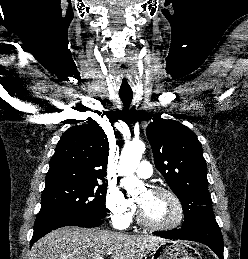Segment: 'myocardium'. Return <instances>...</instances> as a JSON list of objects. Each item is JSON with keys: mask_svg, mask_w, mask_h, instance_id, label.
Returning a JSON list of instances; mask_svg holds the SVG:
<instances>
[{"mask_svg": "<svg viewBox=\"0 0 248 259\" xmlns=\"http://www.w3.org/2000/svg\"><path fill=\"white\" fill-rule=\"evenodd\" d=\"M149 191L154 192V193H163V194H166L167 196H169L177 207V212H178L177 217L170 224L156 225V224L149 222L145 218L141 207L138 205V222H139V224L146 229H149L152 231H158V232L171 231V230H174L177 227H179L184 220L185 210H184L183 203L180 200V198L177 196V194L174 191H172L171 189L163 187V186H151L149 188Z\"/></svg>", "mask_w": 248, "mask_h": 259, "instance_id": "1", "label": "myocardium"}]
</instances>
